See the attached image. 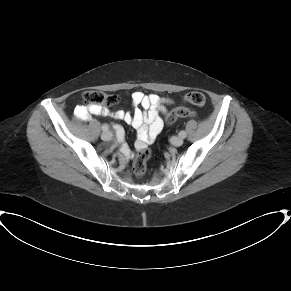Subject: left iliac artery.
<instances>
[{
  "mask_svg": "<svg viewBox=\"0 0 291 291\" xmlns=\"http://www.w3.org/2000/svg\"><path fill=\"white\" fill-rule=\"evenodd\" d=\"M179 136H180L181 138H185V137H186V132H185V131H180V132H179Z\"/></svg>",
  "mask_w": 291,
  "mask_h": 291,
  "instance_id": "left-iliac-artery-1",
  "label": "left iliac artery"
}]
</instances>
